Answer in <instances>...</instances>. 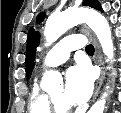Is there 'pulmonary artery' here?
I'll use <instances>...</instances> for the list:
<instances>
[{
  "label": "pulmonary artery",
  "instance_id": "pulmonary-artery-1",
  "mask_svg": "<svg viewBox=\"0 0 121 113\" xmlns=\"http://www.w3.org/2000/svg\"><path fill=\"white\" fill-rule=\"evenodd\" d=\"M83 43L84 37L80 34H73L63 38L47 53L43 60L42 69L57 67L65 63L70 53L74 50L81 49Z\"/></svg>",
  "mask_w": 121,
  "mask_h": 113
}]
</instances>
